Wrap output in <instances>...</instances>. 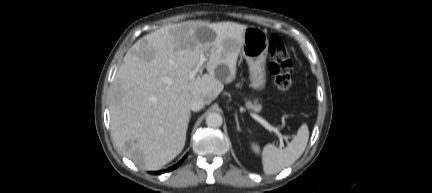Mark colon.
<instances>
[{"label": "colon", "mask_w": 432, "mask_h": 193, "mask_svg": "<svg viewBox=\"0 0 432 193\" xmlns=\"http://www.w3.org/2000/svg\"><path fill=\"white\" fill-rule=\"evenodd\" d=\"M269 71L274 77L276 88L287 92L292 85V62L288 50L277 35L269 40Z\"/></svg>", "instance_id": "colon-1"}]
</instances>
